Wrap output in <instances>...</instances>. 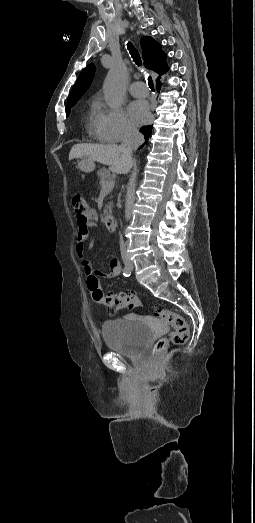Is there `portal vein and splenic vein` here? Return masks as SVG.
<instances>
[{
  "label": "portal vein and splenic vein",
  "instance_id": "obj_1",
  "mask_svg": "<svg viewBox=\"0 0 255 523\" xmlns=\"http://www.w3.org/2000/svg\"><path fill=\"white\" fill-rule=\"evenodd\" d=\"M112 188H114V182H103L100 186V196L106 197L108 192H112Z\"/></svg>",
  "mask_w": 255,
  "mask_h": 523
}]
</instances>
